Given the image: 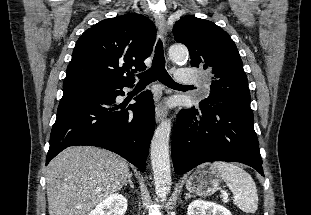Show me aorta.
Returning <instances> with one entry per match:
<instances>
[{
  "instance_id": "aorta-1",
  "label": "aorta",
  "mask_w": 311,
  "mask_h": 215,
  "mask_svg": "<svg viewBox=\"0 0 311 215\" xmlns=\"http://www.w3.org/2000/svg\"><path fill=\"white\" fill-rule=\"evenodd\" d=\"M173 61H185L188 49L183 45H173L169 49ZM171 121L164 120L156 128L151 141V164L157 196L165 200L171 188V169L169 158V140Z\"/></svg>"
}]
</instances>
